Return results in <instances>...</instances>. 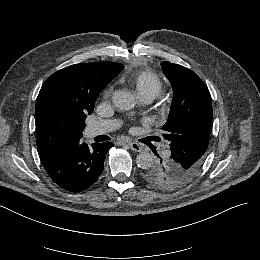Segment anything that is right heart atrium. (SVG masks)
I'll return each instance as SVG.
<instances>
[{"instance_id":"d8ad5b80","label":"right heart atrium","mask_w":260,"mask_h":260,"mask_svg":"<svg viewBox=\"0 0 260 260\" xmlns=\"http://www.w3.org/2000/svg\"><path fill=\"white\" fill-rule=\"evenodd\" d=\"M111 94H112V89L111 88H107L103 92V97L104 98H108Z\"/></svg>"}]
</instances>
